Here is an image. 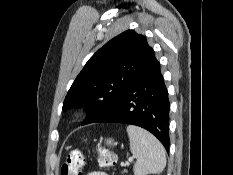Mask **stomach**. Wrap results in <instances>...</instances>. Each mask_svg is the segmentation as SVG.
<instances>
[{
	"label": "stomach",
	"instance_id": "obj_1",
	"mask_svg": "<svg viewBox=\"0 0 233 175\" xmlns=\"http://www.w3.org/2000/svg\"><path fill=\"white\" fill-rule=\"evenodd\" d=\"M106 145H107V146H113V145H115L114 140L111 139V138L107 139V140H106Z\"/></svg>",
	"mask_w": 233,
	"mask_h": 175
}]
</instances>
